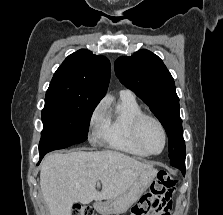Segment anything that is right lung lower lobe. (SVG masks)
<instances>
[{"label":"right lung lower lobe","instance_id":"right-lung-lower-lobe-1","mask_svg":"<svg viewBox=\"0 0 223 215\" xmlns=\"http://www.w3.org/2000/svg\"><path fill=\"white\" fill-rule=\"evenodd\" d=\"M46 153H43V154H40V161H41V159L44 157V155H45ZM39 161V162H40ZM39 164V163H38Z\"/></svg>","mask_w":223,"mask_h":215}]
</instances>
